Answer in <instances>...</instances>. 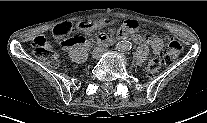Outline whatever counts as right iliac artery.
Wrapping results in <instances>:
<instances>
[{
    "label": "right iliac artery",
    "instance_id": "1",
    "mask_svg": "<svg viewBox=\"0 0 207 123\" xmlns=\"http://www.w3.org/2000/svg\"><path fill=\"white\" fill-rule=\"evenodd\" d=\"M118 48L120 49V48H121V45H120V46H118Z\"/></svg>",
    "mask_w": 207,
    "mask_h": 123
}]
</instances>
